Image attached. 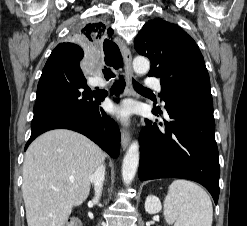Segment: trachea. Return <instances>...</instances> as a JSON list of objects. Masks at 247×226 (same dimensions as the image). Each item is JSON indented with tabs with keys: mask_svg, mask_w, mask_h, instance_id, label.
I'll return each mask as SVG.
<instances>
[{
	"mask_svg": "<svg viewBox=\"0 0 247 226\" xmlns=\"http://www.w3.org/2000/svg\"><path fill=\"white\" fill-rule=\"evenodd\" d=\"M102 72H103L105 78H108V79H109V78L115 77V74L112 72L111 69L105 68V69L102 70ZM133 86H134V89H135L136 91H141V92H151L150 89H147V88L143 87L142 85H140V84H139L137 81H135L134 79H133Z\"/></svg>",
	"mask_w": 247,
	"mask_h": 226,
	"instance_id": "obj_1",
	"label": "trachea"
}]
</instances>
